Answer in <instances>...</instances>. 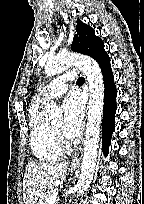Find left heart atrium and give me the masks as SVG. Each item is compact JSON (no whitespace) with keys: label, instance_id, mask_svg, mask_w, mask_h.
<instances>
[{"label":"left heart atrium","instance_id":"39dd6f15","mask_svg":"<svg viewBox=\"0 0 144 204\" xmlns=\"http://www.w3.org/2000/svg\"><path fill=\"white\" fill-rule=\"evenodd\" d=\"M62 107L64 111L63 133L68 138H75L83 126V101L78 95L71 94L64 99Z\"/></svg>","mask_w":144,"mask_h":204}]
</instances>
